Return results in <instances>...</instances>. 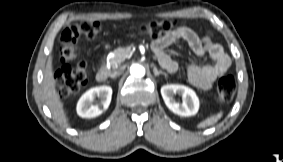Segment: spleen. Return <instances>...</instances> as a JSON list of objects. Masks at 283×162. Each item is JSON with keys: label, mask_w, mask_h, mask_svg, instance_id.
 <instances>
[{"label": "spleen", "mask_w": 283, "mask_h": 162, "mask_svg": "<svg viewBox=\"0 0 283 162\" xmlns=\"http://www.w3.org/2000/svg\"><path fill=\"white\" fill-rule=\"evenodd\" d=\"M222 115H223L222 112H219L216 115H212L209 118H207V119L203 120L202 122H200L197 125V127L198 128H205V127L211 126V125L215 124L222 117Z\"/></svg>", "instance_id": "obj_1"}]
</instances>
